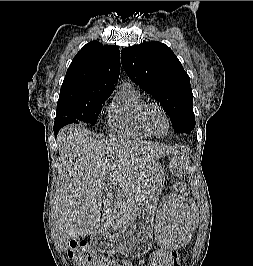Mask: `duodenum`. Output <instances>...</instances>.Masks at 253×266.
I'll list each match as a JSON object with an SVG mask.
<instances>
[{
    "instance_id": "duodenum-1",
    "label": "duodenum",
    "mask_w": 253,
    "mask_h": 266,
    "mask_svg": "<svg viewBox=\"0 0 253 266\" xmlns=\"http://www.w3.org/2000/svg\"><path fill=\"white\" fill-rule=\"evenodd\" d=\"M105 239V237L101 234L94 235V242L98 243L100 240Z\"/></svg>"
}]
</instances>
